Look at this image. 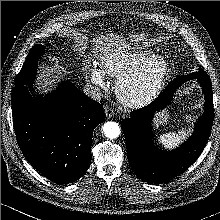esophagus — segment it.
<instances>
[{
    "label": "esophagus",
    "instance_id": "1",
    "mask_svg": "<svg viewBox=\"0 0 220 220\" xmlns=\"http://www.w3.org/2000/svg\"><path fill=\"white\" fill-rule=\"evenodd\" d=\"M104 111L107 118H112L115 115L114 110L108 105L104 106Z\"/></svg>",
    "mask_w": 220,
    "mask_h": 220
}]
</instances>
